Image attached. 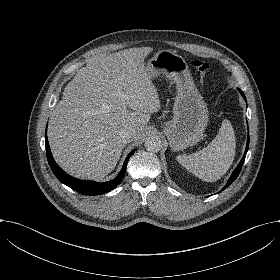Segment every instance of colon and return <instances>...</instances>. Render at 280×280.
<instances>
[{"label": "colon", "instance_id": "obj_1", "mask_svg": "<svg viewBox=\"0 0 280 280\" xmlns=\"http://www.w3.org/2000/svg\"><path fill=\"white\" fill-rule=\"evenodd\" d=\"M191 66L195 71L199 72L202 75H205L209 68V65L201 60H193L191 62Z\"/></svg>", "mask_w": 280, "mask_h": 280}]
</instances>
